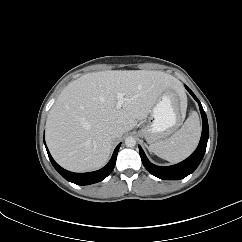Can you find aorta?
<instances>
[{"label":"aorta","instance_id":"762f6f07","mask_svg":"<svg viewBox=\"0 0 242 242\" xmlns=\"http://www.w3.org/2000/svg\"><path fill=\"white\" fill-rule=\"evenodd\" d=\"M125 145L127 147H134L136 145V140L134 137H127L125 139Z\"/></svg>","mask_w":242,"mask_h":242}]
</instances>
